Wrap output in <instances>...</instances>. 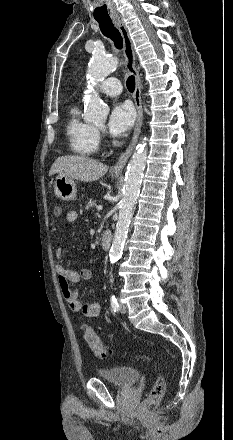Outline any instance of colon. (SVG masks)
Here are the masks:
<instances>
[{"label":"colon","mask_w":233,"mask_h":440,"mask_svg":"<svg viewBox=\"0 0 233 440\" xmlns=\"http://www.w3.org/2000/svg\"><path fill=\"white\" fill-rule=\"evenodd\" d=\"M62 207L56 205L54 208L55 216L59 217L62 215ZM81 331L85 342L91 348L95 357L99 359H108L111 356L110 350L104 345L94 329L87 323L81 325ZM141 360L146 362H151V357L147 355H141L139 357ZM165 392V379L163 374L159 371L156 380L147 396V398L142 403V410L145 412L152 411L162 400Z\"/></svg>","instance_id":"1"}]
</instances>
